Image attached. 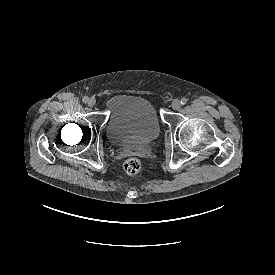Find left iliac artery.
<instances>
[{
	"label": "left iliac artery",
	"mask_w": 275,
	"mask_h": 275,
	"mask_svg": "<svg viewBox=\"0 0 275 275\" xmlns=\"http://www.w3.org/2000/svg\"><path fill=\"white\" fill-rule=\"evenodd\" d=\"M180 102H181L182 105H185L187 103V99L186 98H182Z\"/></svg>",
	"instance_id": "44dca946"
}]
</instances>
